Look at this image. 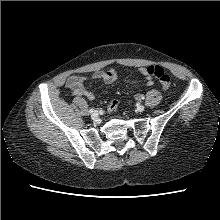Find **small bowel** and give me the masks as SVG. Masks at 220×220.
Returning <instances> with one entry per match:
<instances>
[{"mask_svg": "<svg viewBox=\"0 0 220 220\" xmlns=\"http://www.w3.org/2000/svg\"><path fill=\"white\" fill-rule=\"evenodd\" d=\"M148 67H141L139 73L145 78L147 85L153 84V76L147 72ZM92 79L103 80L106 83H112L117 80L118 72L115 69H109L106 71L98 70L93 73ZM88 80L87 77L81 75H72L66 81V87L70 89L75 96H84L89 100L95 99V94L84 86V83Z\"/></svg>", "mask_w": 220, "mask_h": 220, "instance_id": "small-bowel-1", "label": "small bowel"}]
</instances>
